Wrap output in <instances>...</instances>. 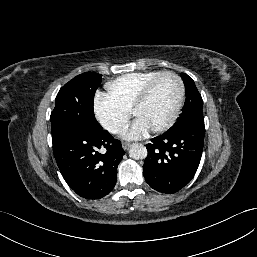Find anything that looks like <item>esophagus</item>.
<instances>
[{
    "mask_svg": "<svg viewBox=\"0 0 257 257\" xmlns=\"http://www.w3.org/2000/svg\"><path fill=\"white\" fill-rule=\"evenodd\" d=\"M129 145H130V144L127 143V142H123V143H122V147H123L124 150H127L128 147H129Z\"/></svg>",
    "mask_w": 257,
    "mask_h": 257,
    "instance_id": "1",
    "label": "esophagus"
}]
</instances>
